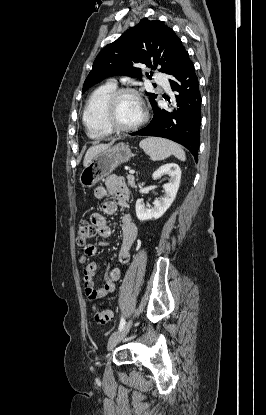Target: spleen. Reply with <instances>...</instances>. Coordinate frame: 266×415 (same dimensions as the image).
<instances>
[{
  "label": "spleen",
  "instance_id": "3e777b00",
  "mask_svg": "<svg viewBox=\"0 0 266 415\" xmlns=\"http://www.w3.org/2000/svg\"><path fill=\"white\" fill-rule=\"evenodd\" d=\"M140 147L153 161H161L171 155H174L181 161L186 160L183 149L176 143L167 139L149 137L140 142Z\"/></svg>",
  "mask_w": 266,
  "mask_h": 415
}]
</instances>
